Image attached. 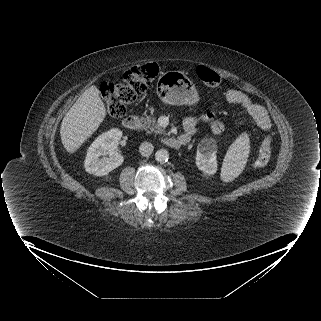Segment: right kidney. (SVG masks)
I'll list each match as a JSON object with an SVG mask.
<instances>
[{
	"instance_id": "right-kidney-1",
	"label": "right kidney",
	"mask_w": 321,
	"mask_h": 321,
	"mask_svg": "<svg viewBox=\"0 0 321 321\" xmlns=\"http://www.w3.org/2000/svg\"><path fill=\"white\" fill-rule=\"evenodd\" d=\"M121 137L122 131L116 128L98 136L87 151L84 161L85 170L90 174L103 176L120 166L124 159L115 151V147ZM105 153L109 156L100 158Z\"/></svg>"
}]
</instances>
